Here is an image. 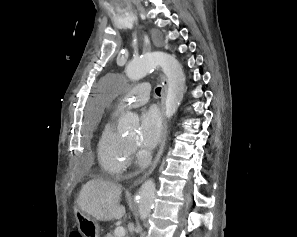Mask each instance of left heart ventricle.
<instances>
[{"instance_id":"b2bd125f","label":"left heart ventricle","mask_w":297,"mask_h":237,"mask_svg":"<svg viewBox=\"0 0 297 237\" xmlns=\"http://www.w3.org/2000/svg\"><path fill=\"white\" fill-rule=\"evenodd\" d=\"M127 139L129 141H135L137 139V135L136 134H132V135L128 136Z\"/></svg>"}]
</instances>
